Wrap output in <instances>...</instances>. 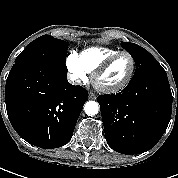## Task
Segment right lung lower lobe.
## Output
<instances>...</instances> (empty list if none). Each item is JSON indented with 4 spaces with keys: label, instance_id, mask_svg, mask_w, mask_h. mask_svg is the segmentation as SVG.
<instances>
[{
    "label": "right lung lower lobe",
    "instance_id": "98d812e1",
    "mask_svg": "<svg viewBox=\"0 0 178 178\" xmlns=\"http://www.w3.org/2000/svg\"><path fill=\"white\" fill-rule=\"evenodd\" d=\"M59 63L15 64L6 80V109L15 131L44 149L70 141L88 92L67 80Z\"/></svg>",
    "mask_w": 178,
    "mask_h": 178
}]
</instances>
